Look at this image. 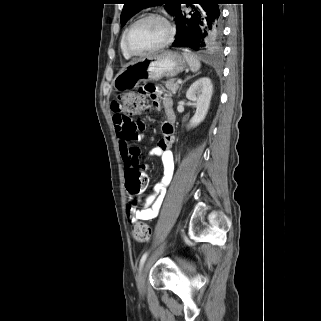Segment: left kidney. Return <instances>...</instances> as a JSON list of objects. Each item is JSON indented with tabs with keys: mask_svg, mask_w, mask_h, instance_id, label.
Returning a JSON list of instances; mask_svg holds the SVG:
<instances>
[{
	"mask_svg": "<svg viewBox=\"0 0 321 321\" xmlns=\"http://www.w3.org/2000/svg\"><path fill=\"white\" fill-rule=\"evenodd\" d=\"M213 85L208 77L195 81L187 90L186 97L196 105V112L191 118L188 128L199 125L206 117L209 109Z\"/></svg>",
	"mask_w": 321,
	"mask_h": 321,
	"instance_id": "1",
	"label": "left kidney"
}]
</instances>
